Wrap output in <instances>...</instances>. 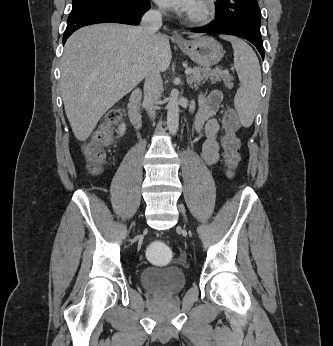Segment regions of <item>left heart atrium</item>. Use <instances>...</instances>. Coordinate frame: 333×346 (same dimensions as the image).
Segmentation results:
<instances>
[{
  "label": "left heart atrium",
  "mask_w": 333,
  "mask_h": 346,
  "mask_svg": "<svg viewBox=\"0 0 333 346\" xmlns=\"http://www.w3.org/2000/svg\"><path fill=\"white\" fill-rule=\"evenodd\" d=\"M160 6L177 10L188 11L191 9L194 0H155Z\"/></svg>",
  "instance_id": "left-heart-atrium-1"
}]
</instances>
